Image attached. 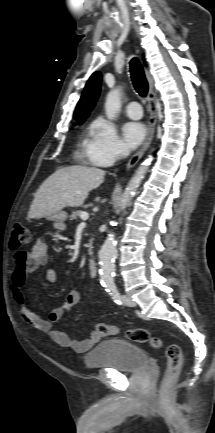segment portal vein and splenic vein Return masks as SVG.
<instances>
[{
  "mask_svg": "<svg viewBox=\"0 0 215 433\" xmlns=\"http://www.w3.org/2000/svg\"><path fill=\"white\" fill-rule=\"evenodd\" d=\"M80 217H81V219H82L83 221H86V220L88 219L89 215H88V213L83 212V213L80 215ZM82 224L85 225V222H83Z\"/></svg>",
  "mask_w": 215,
  "mask_h": 433,
  "instance_id": "portal-vein-and-splenic-vein-1",
  "label": "portal vein and splenic vein"
}]
</instances>
